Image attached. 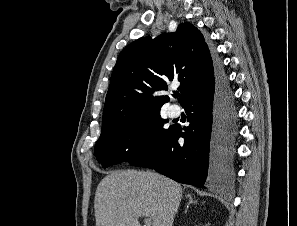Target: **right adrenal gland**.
I'll return each instance as SVG.
<instances>
[{"instance_id":"right-adrenal-gland-1","label":"right adrenal gland","mask_w":297,"mask_h":226,"mask_svg":"<svg viewBox=\"0 0 297 226\" xmlns=\"http://www.w3.org/2000/svg\"><path fill=\"white\" fill-rule=\"evenodd\" d=\"M186 198H188V203L186 205L185 212L188 210L190 204L197 203V201L193 200V198H192V196L190 194H187Z\"/></svg>"}]
</instances>
